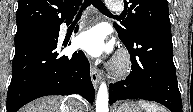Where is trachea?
I'll use <instances>...</instances> for the list:
<instances>
[{
	"mask_svg": "<svg viewBox=\"0 0 193 112\" xmlns=\"http://www.w3.org/2000/svg\"><path fill=\"white\" fill-rule=\"evenodd\" d=\"M90 4H93L102 13H104L106 15H112L110 13V11L107 9V7L105 6V4L101 0H86L83 3L80 12L83 11Z\"/></svg>",
	"mask_w": 193,
	"mask_h": 112,
	"instance_id": "trachea-1",
	"label": "trachea"
}]
</instances>
